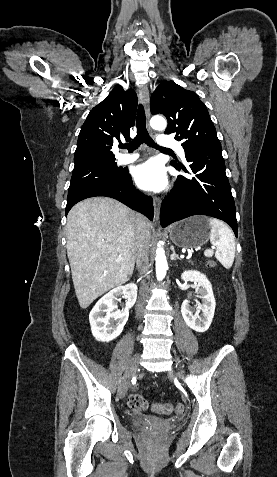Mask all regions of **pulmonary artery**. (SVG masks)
<instances>
[{
  "instance_id": "pulmonary-artery-1",
  "label": "pulmonary artery",
  "mask_w": 277,
  "mask_h": 477,
  "mask_svg": "<svg viewBox=\"0 0 277 477\" xmlns=\"http://www.w3.org/2000/svg\"><path fill=\"white\" fill-rule=\"evenodd\" d=\"M159 143L161 146L167 149H174L182 158H185V151L181 144L173 139H170L168 136L162 135L159 138ZM139 155L137 153L133 154H121L117 161L120 164H128L137 160Z\"/></svg>"
}]
</instances>
